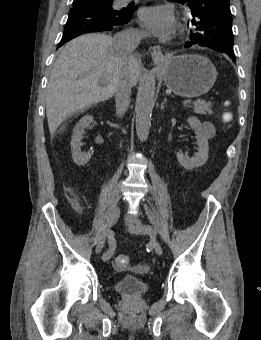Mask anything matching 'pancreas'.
Returning <instances> with one entry per match:
<instances>
[{"label":"pancreas","instance_id":"cf45deb5","mask_svg":"<svg viewBox=\"0 0 261 340\" xmlns=\"http://www.w3.org/2000/svg\"><path fill=\"white\" fill-rule=\"evenodd\" d=\"M192 108L194 112L200 115H211L212 112V103L206 102L205 100H197L193 102Z\"/></svg>","mask_w":261,"mask_h":340}]
</instances>
